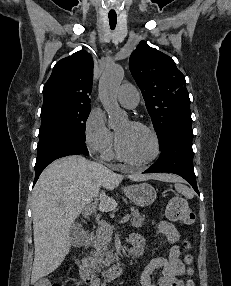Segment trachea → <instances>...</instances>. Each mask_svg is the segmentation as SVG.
<instances>
[{
  "instance_id": "obj_1",
  "label": "trachea",
  "mask_w": 231,
  "mask_h": 286,
  "mask_svg": "<svg viewBox=\"0 0 231 286\" xmlns=\"http://www.w3.org/2000/svg\"><path fill=\"white\" fill-rule=\"evenodd\" d=\"M109 24L112 30L115 29L117 24V15L116 14H109Z\"/></svg>"
}]
</instances>
